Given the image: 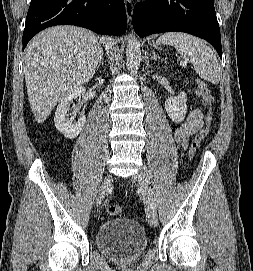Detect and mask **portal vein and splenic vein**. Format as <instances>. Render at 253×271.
<instances>
[{"label":"portal vein and splenic vein","instance_id":"18ae733b","mask_svg":"<svg viewBox=\"0 0 253 271\" xmlns=\"http://www.w3.org/2000/svg\"><path fill=\"white\" fill-rule=\"evenodd\" d=\"M181 65H182L183 67H185V66H186V62H182Z\"/></svg>","mask_w":253,"mask_h":271}]
</instances>
